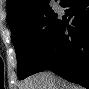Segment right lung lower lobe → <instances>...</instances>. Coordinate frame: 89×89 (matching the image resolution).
<instances>
[{
	"mask_svg": "<svg viewBox=\"0 0 89 89\" xmlns=\"http://www.w3.org/2000/svg\"><path fill=\"white\" fill-rule=\"evenodd\" d=\"M63 7H70L72 25L60 21L37 72L51 69L66 80L85 84L89 70L88 11L83 0H62ZM89 10V9H88Z\"/></svg>",
	"mask_w": 89,
	"mask_h": 89,
	"instance_id": "right-lung-lower-lobe-1",
	"label": "right lung lower lobe"
}]
</instances>
